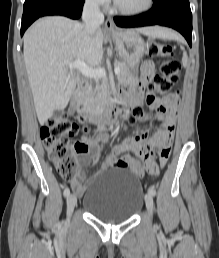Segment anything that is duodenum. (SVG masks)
<instances>
[{"mask_svg":"<svg viewBox=\"0 0 219 258\" xmlns=\"http://www.w3.org/2000/svg\"><path fill=\"white\" fill-rule=\"evenodd\" d=\"M86 92L87 85L83 84L80 90L81 98L85 97ZM118 114V105L115 102L104 99L92 109L82 110L81 119L102 126L114 122Z\"/></svg>","mask_w":219,"mask_h":258,"instance_id":"1","label":"duodenum"}]
</instances>
